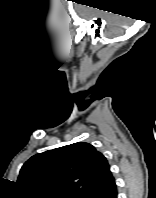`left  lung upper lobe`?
<instances>
[{"mask_svg": "<svg viewBox=\"0 0 156 198\" xmlns=\"http://www.w3.org/2000/svg\"><path fill=\"white\" fill-rule=\"evenodd\" d=\"M110 175L103 154L77 142L32 156L17 182L28 198H87Z\"/></svg>", "mask_w": 156, "mask_h": 198, "instance_id": "left-lung-upper-lobe-1", "label": "left lung upper lobe"}]
</instances>
